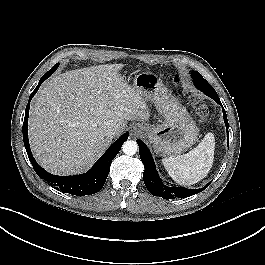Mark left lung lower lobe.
<instances>
[{
    "instance_id": "1",
    "label": "left lung lower lobe",
    "mask_w": 265,
    "mask_h": 265,
    "mask_svg": "<svg viewBox=\"0 0 265 265\" xmlns=\"http://www.w3.org/2000/svg\"><path fill=\"white\" fill-rule=\"evenodd\" d=\"M192 79L197 89L202 91L205 95L211 97L214 101H216L219 105L222 106V103L216 91L204 78L196 77ZM222 110L227 130V144L229 146V136H228L229 125L224 108ZM137 143L139 145L140 158L145 167L143 173L144 184L152 195L162 197L164 199L185 198L197 194L208 187L209 184H207L205 187L200 189H187L184 187L165 184L157 174L155 163L153 161L149 149L141 140L138 139Z\"/></svg>"
}]
</instances>
